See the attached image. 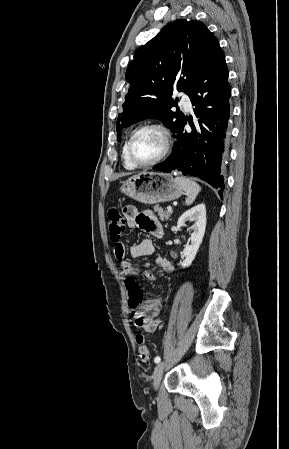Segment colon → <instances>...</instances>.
Masks as SVG:
<instances>
[{
	"label": "colon",
	"instance_id": "colon-1",
	"mask_svg": "<svg viewBox=\"0 0 289 449\" xmlns=\"http://www.w3.org/2000/svg\"><path fill=\"white\" fill-rule=\"evenodd\" d=\"M108 227L110 238L113 241H118L125 231V220L122 213L116 207H111L108 210ZM126 285L129 291V305L132 310H136L142 299V291L133 278L126 280ZM136 343L138 345V356L142 362H147L150 359V352L145 342V336L142 333L136 335Z\"/></svg>",
	"mask_w": 289,
	"mask_h": 449
}]
</instances>
